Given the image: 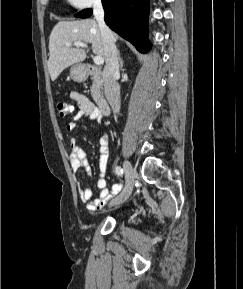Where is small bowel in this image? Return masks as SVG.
Wrapping results in <instances>:
<instances>
[{"mask_svg":"<svg viewBox=\"0 0 243 289\" xmlns=\"http://www.w3.org/2000/svg\"><path fill=\"white\" fill-rule=\"evenodd\" d=\"M71 97L76 101L78 105V112L74 115L72 121H70L66 129L70 132L75 131L78 128L77 122L81 119L88 118L92 121H102V115L99 113L94 104L85 95L72 92ZM99 141V171L100 175L97 180V187L100 190L99 197L92 199V191L89 187L83 188L79 183L77 184L79 196L82 202L86 203V208L90 212L98 211L103 208L106 202L112 195L117 194L122 186L121 184H115L111 189L107 187L105 180V172L107 169L109 159V135L105 131H100L98 134ZM70 154L69 161L73 172L84 170L88 179L92 176V168L89 165L88 159L84 151L77 145V139L75 137L70 140Z\"/></svg>","mask_w":243,"mask_h":289,"instance_id":"small-bowel-1","label":"small bowel"}]
</instances>
